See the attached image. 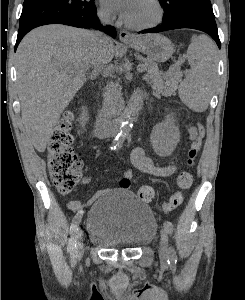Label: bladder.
I'll list each match as a JSON object with an SVG mask.
<instances>
[{
    "label": "bladder",
    "instance_id": "obj_1",
    "mask_svg": "<svg viewBox=\"0 0 245 300\" xmlns=\"http://www.w3.org/2000/svg\"><path fill=\"white\" fill-rule=\"evenodd\" d=\"M157 228L151 208L126 189L103 192L86 219L89 241L102 248L143 247L154 239Z\"/></svg>",
    "mask_w": 245,
    "mask_h": 300
}]
</instances>
